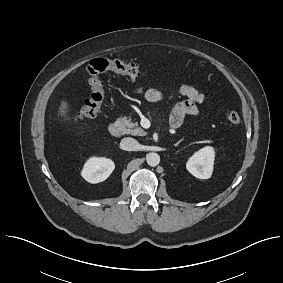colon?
<instances>
[{"label": "colon", "instance_id": "colon-1", "mask_svg": "<svg viewBox=\"0 0 283 283\" xmlns=\"http://www.w3.org/2000/svg\"><path fill=\"white\" fill-rule=\"evenodd\" d=\"M107 71L137 77L141 72V63L120 58H97L92 60L86 67L87 82L90 86V93L80 111L74 115L77 122H85L98 115L105 100V92L100 75ZM226 118L232 125H239L241 118L235 109L226 113Z\"/></svg>", "mask_w": 283, "mask_h": 283}]
</instances>
